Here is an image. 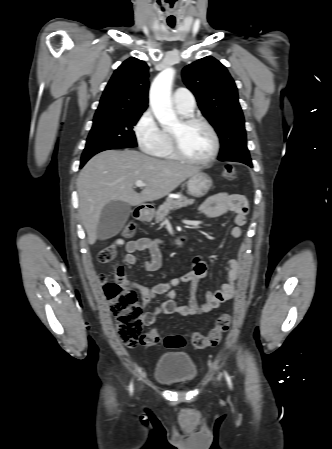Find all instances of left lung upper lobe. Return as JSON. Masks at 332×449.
I'll return each instance as SVG.
<instances>
[{
    "instance_id": "obj_1",
    "label": "left lung upper lobe",
    "mask_w": 332,
    "mask_h": 449,
    "mask_svg": "<svg viewBox=\"0 0 332 449\" xmlns=\"http://www.w3.org/2000/svg\"><path fill=\"white\" fill-rule=\"evenodd\" d=\"M182 76L220 138L219 160L251 162L237 87L226 67L207 56L186 66Z\"/></svg>"
}]
</instances>
